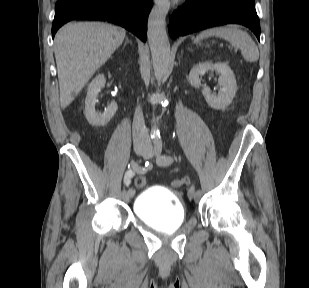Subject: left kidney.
<instances>
[{
	"instance_id": "5707ae66",
	"label": "left kidney",
	"mask_w": 309,
	"mask_h": 288,
	"mask_svg": "<svg viewBox=\"0 0 309 288\" xmlns=\"http://www.w3.org/2000/svg\"><path fill=\"white\" fill-rule=\"evenodd\" d=\"M217 71L219 73L218 83L221 86L218 94H211L210 88L203 86L202 94L211 108L224 110L229 106L236 94L237 84L234 73L230 67L223 62L211 63L203 62L195 65L188 76L189 83L195 87L200 88V76H203L208 71Z\"/></svg>"
}]
</instances>
